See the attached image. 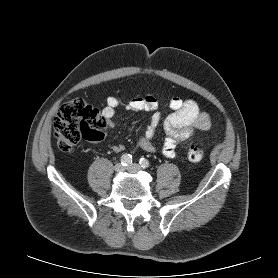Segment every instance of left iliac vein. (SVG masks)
<instances>
[{"mask_svg": "<svg viewBox=\"0 0 278 278\" xmlns=\"http://www.w3.org/2000/svg\"><path fill=\"white\" fill-rule=\"evenodd\" d=\"M127 170L131 173H138L141 167L138 164H131L127 167Z\"/></svg>", "mask_w": 278, "mask_h": 278, "instance_id": "left-iliac-vein-1", "label": "left iliac vein"}]
</instances>
